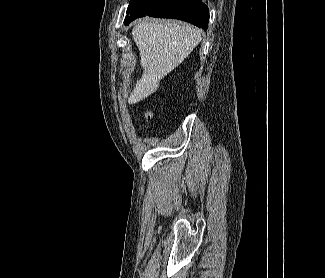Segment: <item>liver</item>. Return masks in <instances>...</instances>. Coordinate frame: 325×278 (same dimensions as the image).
I'll return each instance as SVG.
<instances>
[{"mask_svg": "<svg viewBox=\"0 0 325 278\" xmlns=\"http://www.w3.org/2000/svg\"><path fill=\"white\" fill-rule=\"evenodd\" d=\"M143 74L128 99L135 104L154 93L160 80L181 64L202 40L201 30L171 21L143 20L132 30Z\"/></svg>", "mask_w": 325, "mask_h": 278, "instance_id": "6515ba94", "label": "liver"}]
</instances>
